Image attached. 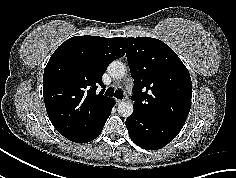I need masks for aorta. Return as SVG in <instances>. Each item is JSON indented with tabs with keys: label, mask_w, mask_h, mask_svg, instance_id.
<instances>
[{
	"label": "aorta",
	"mask_w": 236,
	"mask_h": 178,
	"mask_svg": "<svg viewBox=\"0 0 236 178\" xmlns=\"http://www.w3.org/2000/svg\"><path fill=\"white\" fill-rule=\"evenodd\" d=\"M108 71L113 78L119 79L125 75L126 67L122 62L115 60L110 63ZM133 110H134L133 103L130 101L120 102L117 109L119 115L125 118L131 116Z\"/></svg>",
	"instance_id": "obj_1"
}]
</instances>
